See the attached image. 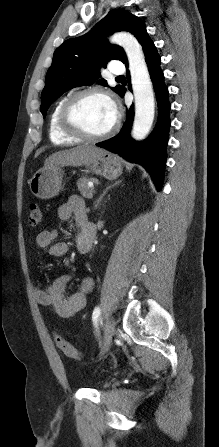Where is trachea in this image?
Instances as JSON below:
<instances>
[{
  "instance_id": "3493384b",
  "label": "trachea",
  "mask_w": 219,
  "mask_h": 447,
  "mask_svg": "<svg viewBox=\"0 0 219 447\" xmlns=\"http://www.w3.org/2000/svg\"><path fill=\"white\" fill-rule=\"evenodd\" d=\"M122 78H124V77H123V76H118V77H117V79H122Z\"/></svg>"
}]
</instances>
